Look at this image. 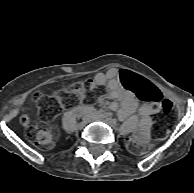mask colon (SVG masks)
Masks as SVG:
<instances>
[{"label": "colon", "mask_w": 194, "mask_h": 193, "mask_svg": "<svg viewBox=\"0 0 194 193\" xmlns=\"http://www.w3.org/2000/svg\"><path fill=\"white\" fill-rule=\"evenodd\" d=\"M119 78L122 84L127 89L133 91L140 101L157 104L160 111L165 115L172 112L173 105L171 101L164 99L157 93L154 87L146 79L127 70L121 71ZM71 88L75 91H79L85 98H92L94 95V84L90 81L72 84ZM61 106V99L58 97L54 98L52 101L53 109L59 110ZM19 123L25 131V136L40 149L49 150L55 146L57 135L47 124L34 123L27 114H22L19 117ZM160 130L159 124L156 123L153 129L154 133H159ZM127 147L134 153H141L143 151L139 143L132 138L128 139Z\"/></svg>", "instance_id": "1"}]
</instances>
